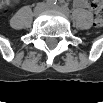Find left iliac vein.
I'll return each instance as SVG.
<instances>
[{"instance_id":"obj_1","label":"left iliac vein","mask_w":103,"mask_h":103,"mask_svg":"<svg viewBox=\"0 0 103 103\" xmlns=\"http://www.w3.org/2000/svg\"><path fill=\"white\" fill-rule=\"evenodd\" d=\"M46 9H48V10H55V11H62V9L59 6H57V5L47 6Z\"/></svg>"}]
</instances>
